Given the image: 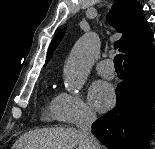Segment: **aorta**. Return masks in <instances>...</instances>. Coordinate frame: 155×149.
Returning <instances> with one entry per match:
<instances>
[{"label": "aorta", "mask_w": 155, "mask_h": 149, "mask_svg": "<svg viewBox=\"0 0 155 149\" xmlns=\"http://www.w3.org/2000/svg\"><path fill=\"white\" fill-rule=\"evenodd\" d=\"M98 51L99 39L93 32L76 42L64 66L65 87L69 92L76 94L83 88Z\"/></svg>", "instance_id": "1"}]
</instances>
